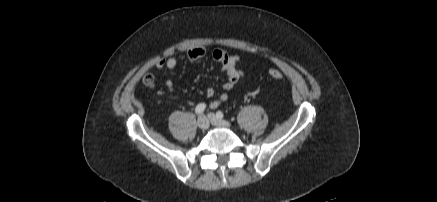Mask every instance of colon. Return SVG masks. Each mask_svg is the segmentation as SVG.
<instances>
[{"instance_id":"5ec220e1","label":"colon","mask_w":437,"mask_h":202,"mask_svg":"<svg viewBox=\"0 0 437 202\" xmlns=\"http://www.w3.org/2000/svg\"><path fill=\"white\" fill-rule=\"evenodd\" d=\"M268 75L275 80H281L283 78V73L278 69H269ZM143 82L148 87L154 86V78L151 74L145 75L143 78Z\"/></svg>"}]
</instances>
